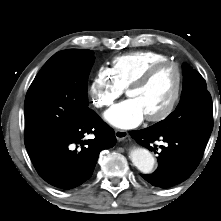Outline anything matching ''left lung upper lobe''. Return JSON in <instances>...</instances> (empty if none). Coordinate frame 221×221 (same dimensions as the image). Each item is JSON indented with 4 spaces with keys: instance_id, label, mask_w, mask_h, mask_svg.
Wrapping results in <instances>:
<instances>
[{
    "instance_id": "1",
    "label": "left lung upper lobe",
    "mask_w": 221,
    "mask_h": 221,
    "mask_svg": "<svg viewBox=\"0 0 221 221\" xmlns=\"http://www.w3.org/2000/svg\"><path fill=\"white\" fill-rule=\"evenodd\" d=\"M183 75V90L176 110L153 126L164 133H193L210 137L213 106L206 82L188 64L183 65Z\"/></svg>"
}]
</instances>
